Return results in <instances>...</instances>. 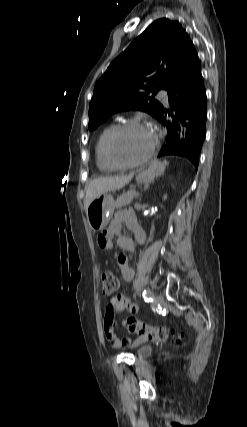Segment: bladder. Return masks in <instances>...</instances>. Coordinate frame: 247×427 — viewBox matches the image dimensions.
Wrapping results in <instances>:
<instances>
[{"mask_svg": "<svg viewBox=\"0 0 247 427\" xmlns=\"http://www.w3.org/2000/svg\"><path fill=\"white\" fill-rule=\"evenodd\" d=\"M152 351H153V349H152L151 346H149V345H143V346H141V347L138 348L137 355L139 357H143L144 358V357H147V356L151 355Z\"/></svg>", "mask_w": 247, "mask_h": 427, "instance_id": "31cf9c89", "label": "bladder"}]
</instances>
